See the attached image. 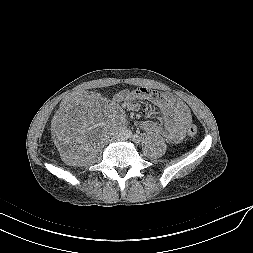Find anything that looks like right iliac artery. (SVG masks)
Returning <instances> with one entry per match:
<instances>
[{"instance_id": "obj_1", "label": "right iliac artery", "mask_w": 253, "mask_h": 253, "mask_svg": "<svg viewBox=\"0 0 253 253\" xmlns=\"http://www.w3.org/2000/svg\"><path fill=\"white\" fill-rule=\"evenodd\" d=\"M125 135H126L127 137H131V136H132V133H131L130 130H126V131H125Z\"/></svg>"}]
</instances>
